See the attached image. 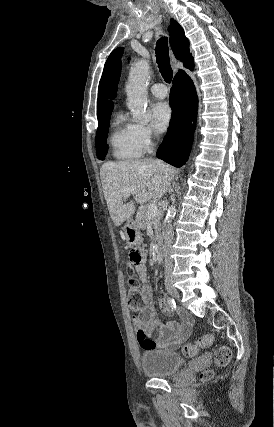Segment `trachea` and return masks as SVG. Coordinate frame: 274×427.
Listing matches in <instances>:
<instances>
[{
    "instance_id": "obj_1",
    "label": "trachea",
    "mask_w": 274,
    "mask_h": 427,
    "mask_svg": "<svg viewBox=\"0 0 274 427\" xmlns=\"http://www.w3.org/2000/svg\"><path fill=\"white\" fill-rule=\"evenodd\" d=\"M156 59L159 70L165 82L171 83L173 71L169 61V47L167 37H161L156 43Z\"/></svg>"
}]
</instances>
